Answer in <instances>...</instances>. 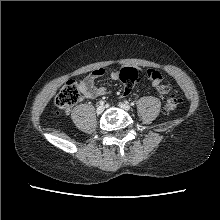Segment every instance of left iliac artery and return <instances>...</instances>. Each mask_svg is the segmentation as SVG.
Here are the masks:
<instances>
[{"instance_id":"obj_1","label":"left iliac artery","mask_w":220,"mask_h":220,"mask_svg":"<svg viewBox=\"0 0 220 220\" xmlns=\"http://www.w3.org/2000/svg\"><path fill=\"white\" fill-rule=\"evenodd\" d=\"M131 105H132V106H134V105H135V103H134V102H131Z\"/></svg>"}]
</instances>
